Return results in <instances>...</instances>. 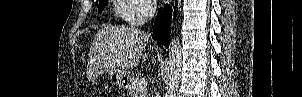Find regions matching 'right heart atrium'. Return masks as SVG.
<instances>
[{"instance_id": "1", "label": "right heart atrium", "mask_w": 302, "mask_h": 97, "mask_svg": "<svg viewBox=\"0 0 302 97\" xmlns=\"http://www.w3.org/2000/svg\"><path fill=\"white\" fill-rule=\"evenodd\" d=\"M134 5L128 21L134 25L145 23L154 13L153 3L146 0H129Z\"/></svg>"}]
</instances>
